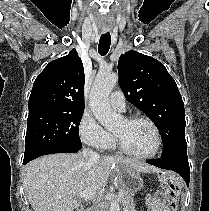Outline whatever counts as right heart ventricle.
<instances>
[{
  "mask_svg": "<svg viewBox=\"0 0 209 211\" xmlns=\"http://www.w3.org/2000/svg\"><path fill=\"white\" fill-rule=\"evenodd\" d=\"M107 147L108 148H114V139L112 140V142Z\"/></svg>",
  "mask_w": 209,
  "mask_h": 211,
  "instance_id": "1",
  "label": "right heart ventricle"
}]
</instances>
